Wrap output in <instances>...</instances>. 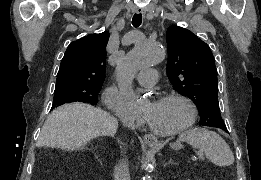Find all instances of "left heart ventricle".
<instances>
[{"label":"left heart ventricle","mask_w":261,"mask_h":180,"mask_svg":"<svg viewBox=\"0 0 261 180\" xmlns=\"http://www.w3.org/2000/svg\"><path fill=\"white\" fill-rule=\"evenodd\" d=\"M145 109L148 110V114L143 122L153 135L178 132L187 116L186 105L175 98H160L152 102L145 100L141 110Z\"/></svg>","instance_id":"left-heart-ventricle-1"}]
</instances>
